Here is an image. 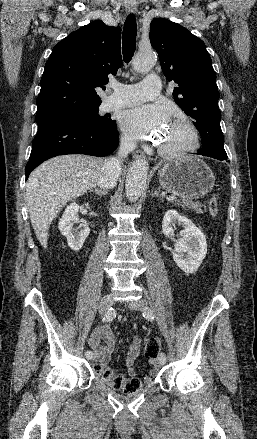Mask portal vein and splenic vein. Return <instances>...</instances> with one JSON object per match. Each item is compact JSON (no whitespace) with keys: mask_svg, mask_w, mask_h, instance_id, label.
<instances>
[{"mask_svg":"<svg viewBox=\"0 0 257 439\" xmlns=\"http://www.w3.org/2000/svg\"><path fill=\"white\" fill-rule=\"evenodd\" d=\"M177 199V197L176 196H169V197H167V200L168 201H173V200H176Z\"/></svg>","mask_w":257,"mask_h":439,"instance_id":"obj_1","label":"portal vein and splenic vein"}]
</instances>
